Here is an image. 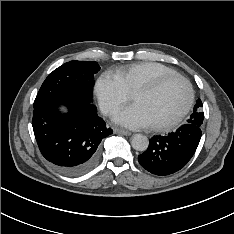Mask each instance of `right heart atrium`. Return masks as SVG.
Masks as SVG:
<instances>
[{
    "label": "right heart atrium",
    "mask_w": 234,
    "mask_h": 234,
    "mask_svg": "<svg viewBox=\"0 0 234 234\" xmlns=\"http://www.w3.org/2000/svg\"><path fill=\"white\" fill-rule=\"evenodd\" d=\"M95 93L101 110L113 114L129 100V93L116 74L106 71L95 84Z\"/></svg>",
    "instance_id": "obj_1"
}]
</instances>
